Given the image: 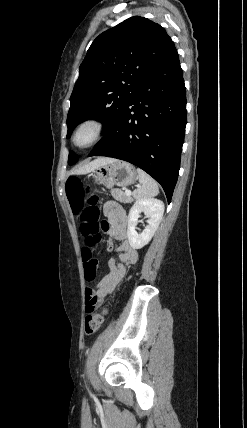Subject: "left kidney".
Here are the masks:
<instances>
[{"label": "left kidney", "mask_w": 247, "mask_h": 428, "mask_svg": "<svg viewBox=\"0 0 247 428\" xmlns=\"http://www.w3.org/2000/svg\"><path fill=\"white\" fill-rule=\"evenodd\" d=\"M141 212H144L149 220L145 229L138 233L135 229ZM163 213L164 203L161 200L143 198L135 201L129 211L127 231L128 241L133 249H141L150 242L162 220Z\"/></svg>", "instance_id": "obj_1"}]
</instances>
